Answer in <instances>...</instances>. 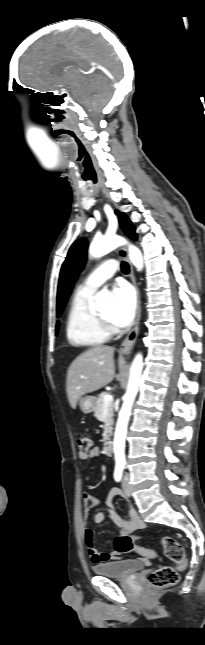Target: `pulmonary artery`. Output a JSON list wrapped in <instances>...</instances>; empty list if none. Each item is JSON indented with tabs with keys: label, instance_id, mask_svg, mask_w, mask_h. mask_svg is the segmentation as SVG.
Returning <instances> with one entry per match:
<instances>
[{
	"label": "pulmonary artery",
	"instance_id": "obj_1",
	"mask_svg": "<svg viewBox=\"0 0 205 645\" xmlns=\"http://www.w3.org/2000/svg\"><path fill=\"white\" fill-rule=\"evenodd\" d=\"M118 270L117 261L110 259L99 265L78 287L85 292H95L99 286L110 279Z\"/></svg>",
	"mask_w": 205,
	"mask_h": 645
}]
</instances>
